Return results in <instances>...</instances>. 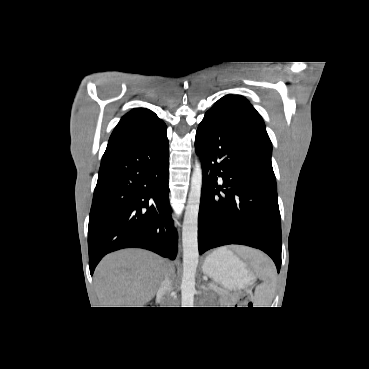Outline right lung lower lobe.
Here are the masks:
<instances>
[{"label":"right lung lower lobe","mask_w":369,"mask_h":369,"mask_svg":"<svg viewBox=\"0 0 369 369\" xmlns=\"http://www.w3.org/2000/svg\"><path fill=\"white\" fill-rule=\"evenodd\" d=\"M166 129L104 153L88 227L91 275L107 253L137 247L175 259Z\"/></svg>","instance_id":"right-lung-lower-lobe-1"}]
</instances>
